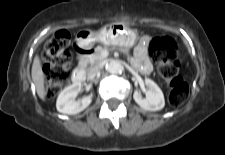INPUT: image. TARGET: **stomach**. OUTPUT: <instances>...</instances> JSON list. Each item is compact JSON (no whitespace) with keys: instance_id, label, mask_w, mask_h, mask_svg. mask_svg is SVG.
I'll use <instances>...</instances> for the list:
<instances>
[{"instance_id":"stomach-1","label":"stomach","mask_w":225,"mask_h":155,"mask_svg":"<svg viewBox=\"0 0 225 155\" xmlns=\"http://www.w3.org/2000/svg\"><path fill=\"white\" fill-rule=\"evenodd\" d=\"M136 40V33L122 23L106 25L95 33L89 30H81L77 35V42L82 46H90L93 42L99 41L105 45L131 47Z\"/></svg>"}]
</instances>
